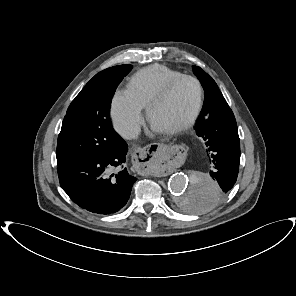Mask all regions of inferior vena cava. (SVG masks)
I'll return each instance as SVG.
<instances>
[{
    "instance_id": "obj_1",
    "label": "inferior vena cava",
    "mask_w": 296,
    "mask_h": 296,
    "mask_svg": "<svg viewBox=\"0 0 296 296\" xmlns=\"http://www.w3.org/2000/svg\"><path fill=\"white\" fill-rule=\"evenodd\" d=\"M139 134H140V127L137 125L126 128L122 133L123 137L126 139H133L137 137Z\"/></svg>"
}]
</instances>
